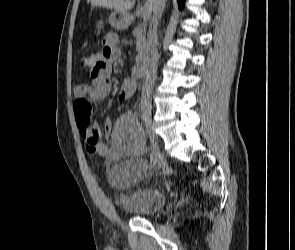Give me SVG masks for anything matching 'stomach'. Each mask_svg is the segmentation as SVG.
Listing matches in <instances>:
<instances>
[{"label": "stomach", "instance_id": "0dacf381", "mask_svg": "<svg viewBox=\"0 0 295 250\" xmlns=\"http://www.w3.org/2000/svg\"><path fill=\"white\" fill-rule=\"evenodd\" d=\"M130 19L126 12L114 11L109 17V23L118 30H123L129 25Z\"/></svg>", "mask_w": 295, "mask_h": 250}]
</instances>
